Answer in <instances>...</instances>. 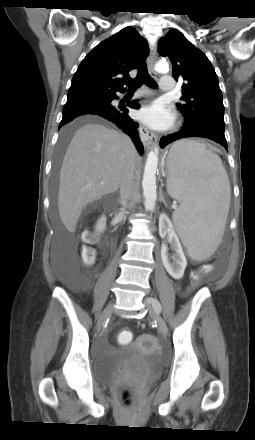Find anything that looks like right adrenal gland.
Masks as SVG:
<instances>
[{"label": "right adrenal gland", "mask_w": 255, "mask_h": 440, "mask_svg": "<svg viewBox=\"0 0 255 440\" xmlns=\"http://www.w3.org/2000/svg\"><path fill=\"white\" fill-rule=\"evenodd\" d=\"M120 201V198L118 197V202Z\"/></svg>", "instance_id": "obj_1"}]
</instances>
